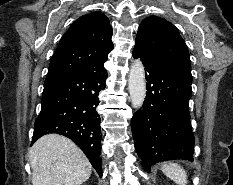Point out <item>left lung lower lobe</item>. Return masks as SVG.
<instances>
[{"mask_svg":"<svg viewBox=\"0 0 233 185\" xmlns=\"http://www.w3.org/2000/svg\"><path fill=\"white\" fill-rule=\"evenodd\" d=\"M147 80L143 108L131 119L135 148L144 169L161 161H193L194 136L191 130L189 99L191 68L155 58L134 46Z\"/></svg>","mask_w":233,"mask_h":185,"instance_id":"left-lung-lower-lobe-1","label":"left lung lower lobe"}]
</instances>
